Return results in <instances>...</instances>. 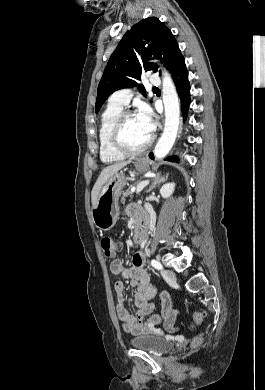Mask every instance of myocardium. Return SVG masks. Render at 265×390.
Instances as JSON below:
<instances>
[{
    "mask_svg": "<svg viewBox=\"0 0 265 390\" xmlns=\"http://www.w3.org/2000/svg\"><path fill=\"white\" fill-rule=\"evenodd\" d=\"M132 111H122L117 117L110 135L112 147L115 151L123 156H136L145 152L152 143V138L149 137L147 142L139 148L132 149L128 147L123 140V126L127 118L134 116Z\"/></svg>",
    "mask_w": 265,
    "mask_h": 390,
    "instance_id": "myocardium-1",
    "label": "myocardium"
}]
</instances>
